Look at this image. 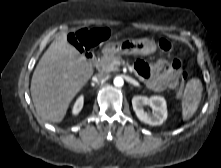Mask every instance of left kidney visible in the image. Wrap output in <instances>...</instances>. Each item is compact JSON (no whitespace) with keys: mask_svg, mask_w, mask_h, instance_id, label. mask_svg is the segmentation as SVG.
Wrapping results in <instances>:
<instances>
[{"mask_svg":"<svg viewBox=\"0 0 221 168\" xmlns=\"http://www.w3.org/2000/svg\"><path fill=\"white\" fill-rule=\"evenodd\" d=\"M145 105L152 108V114L144 111L143 107ZM132 106L138 119L151 126L161 125L167 118L166 101L161 96H151L150 98L141 95L134 96Z\"/></svg>","mask_w":221,"mask_h":168,"instance_id":"obj_1","label":"left kidney"}]
</instances>
